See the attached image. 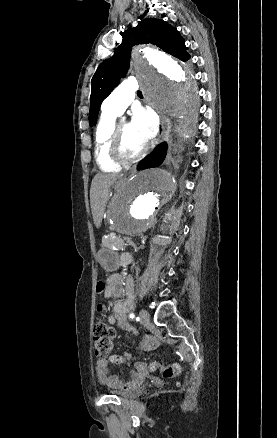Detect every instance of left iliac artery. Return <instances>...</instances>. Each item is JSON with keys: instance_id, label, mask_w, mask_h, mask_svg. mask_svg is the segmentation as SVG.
Segmentation results:
<instances>
[{"instance_id": "44dca946", "label": "left iliac artery", "mask_w": 277, "mask_h": 438, "mask_svg": "<svg viewBox=\"0 0 277 438\" xmlns=\"http://www.w3.org/2000/svg\"><path fill=\"white\" fill-rule=\"evenodd\" d=\"M129 317H130V318H134L135 315L132 313V314L129 315Z\"/></svg>"}]
</instances>
